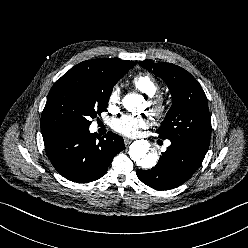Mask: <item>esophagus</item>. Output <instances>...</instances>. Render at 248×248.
<instances>
[{
	"label": "esophagus",
	"mask_w": 248,
	"mask_h": 248,
	"mask_svg": "<svg viewBox=\"0 0 248 248\" xmlns=\"http://www.w3.org/2000/svg\"><path fill=\"white\" fill-rule=\"evenodd\" d=\"M124 143H125V145H129L131 143V140L128 138H125Z\"/></svg>",
	"instance_id": "esophagus-1"
}]
</instances>
